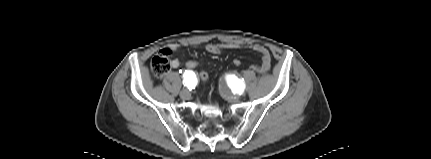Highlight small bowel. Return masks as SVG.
<instances>
[{
	"mask_svg": "<svg viewBox=\"0 0 431 159\" xmlns=\"http://www.w3.org/2000/svg\"><path fill=\"white\" fill-rule=\"evenodd\" d=\"M242 47H246V45L239 42H226V43H216V44L211 43L206 46V50L211 54H220L224 50L237 49ZM249 47L261 55V63L253 66V69L259 73L267 72L270 69V65H271V57L268 50L265 47L258 44H254ZM177 48H178V45L173 44L168 46L167 50L173 51V50H176ZM170 65L172 68L176 69L180 66V61L178 59H172L170 62Z\"/></svg>",
	"mask_w": 431,
	"mask_h": 159,
	"instance_id": "obj_1",
	"label": "small bowel"
}]
</instances>
